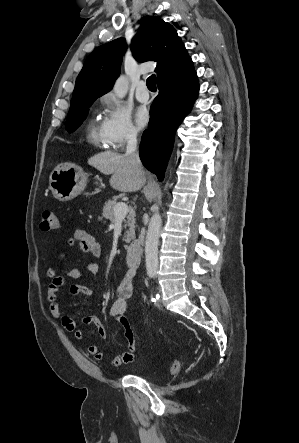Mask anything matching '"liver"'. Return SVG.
<instances>
[{
	"mask_svg": "<svg viewBox=\"0 0 299 443\" xmlns=\"http://www.w3.org/2000/svg\"><path fill=\"white\" fill-rule=\"evenodd\" d=\"M88 164L105 175H110V186L120 192H136L146 182V172L138 168L126 155L104 151L88 159Z\"/></svg>",
	"mask_w": 299,
	"mask_h": 443,
	"instance_id": "obj_1",
	"label": "liver"
}]
</instances>
